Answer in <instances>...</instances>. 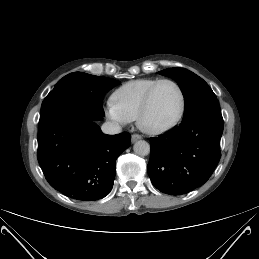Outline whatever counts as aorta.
<instances>
[{
	"label": "aorta",
	"instance_id": "aorta-1",
	"mask_svg": "<svg viewBox=\"0 0 259 259\" xmlns=\"http://www.w3.org/2000/svg\"><path fill=\"white\" fill-rule=\"evenodd\" d=\"M133 150L139 156H146L150 153V145L144 140H139L134 144Z\"/></svg>",
	"mask_w": 259,
	"mask_h": 259
}]
</instances>
